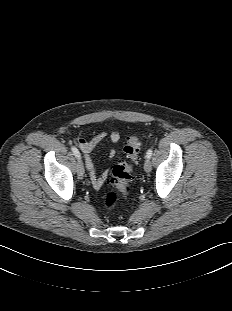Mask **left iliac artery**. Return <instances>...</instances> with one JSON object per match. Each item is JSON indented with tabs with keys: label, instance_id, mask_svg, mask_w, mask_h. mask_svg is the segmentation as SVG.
<instances>
[{
	"label": "left iliac artery",
	"instance_id": "44dca946",
	"mask_svg": "<svg viewBox=\"0 0 232 311\" xmlns=\"http://www.w3.org/2000/svg\"><path fill=\"white\" fill-rule=\"evenodd\" d=\"M152 153H153L152 149H151V148L148 149V151H147V153H146V154H147L146 157L150 159L151 156H152Z\"/></svg>",
	"mask_w": 232,
	"mask_h": 311
}]
</instances>
